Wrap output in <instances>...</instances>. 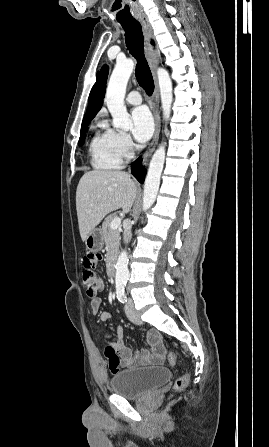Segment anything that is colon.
Segmentation results:
<instances>
[{
	"instance_id": "1",
	"label": "colon",
	"mask_w": 269,
	"mask_h": 447,
	"mask_svg": "<svg viewBox=\"0 0 269 447\" xmlns=\"http://www.w3.org/2000/svg\"><path fill=\"white\" fill-rule=\"evenodd\" d=\"M84 261L82 264V282L85 287V293L88 298H95L97 292L103 288V280L96 274L95 271L102 270L101 254L99 252L85 253ZM104 355L107 359L108 370L112 374L116 375L121 372V360L113 347L106 346L104 349ZM166 361L169 365H174L178 361V355L175 353H169L166 357ZM183 372L176 379L174 388L176 391L182 390L184 387H188L190 384L189 375L182 365Z\"/></svg>"
}]
</instances>
